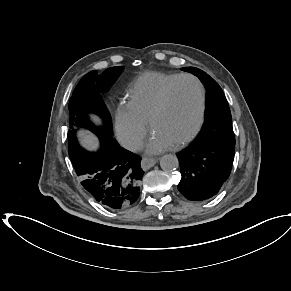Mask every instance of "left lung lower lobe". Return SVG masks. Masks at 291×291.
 Instances as JSON below:
<instances>
[{
	"mask_svg": "<svg viewBox=\"0 0 291 291\" xmlns=\"http://www.w3.org/2000/svg\"><path fill=\"white\" fill-rule=\"evenodd\" d=\"M234 154L235 145L195 139L177 154L181 173L179 192L190 201H206L216 196L231 173Z\"/></svg>",
	"mask_w": 291,
	"mask_h": 291,
	"instance_id": "left-lung-lower-lobe-1",
	"label": "left lung lower lobe"
}]
</instances>
